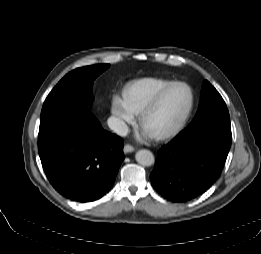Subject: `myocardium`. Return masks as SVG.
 Instances as JSON below:
<instances>
[{
  "mask_svg": "<svg viewBox=\"0 0 261 254\" xmlns=\"http://www.w3.org/2000/svg\"><path fill=\"white\" fill-rule=\"evenodd\" d=\"M177 85H182V86L186 87L189 91L190 102H189L188 109L185 112V114L183 115V117L181 118V120L174 127L170 128L168 130L160 131V132L150 135L151 138L154 140H166V139L172 138L175 135H177L183 129V127L187 123V121L193 111L194 104H195V95H194L192 88L183 81H174V82L169 83L166 87H164L157 94V96L141 111L140 116H139L140 126L142 128H144V122H145L147 116L157 108V106L159 105V103L161 102V100L165 96V94L172 87L177 86Z\"/></svg>",
  "mask_w": 261,
  "mask_h": 254,
  "instance_id": "myocardium-1",
  "label": "myocardium"
}]
</instances>
